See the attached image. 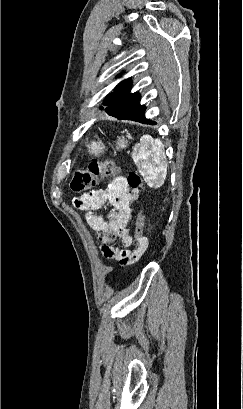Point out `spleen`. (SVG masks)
Listing matches in <instances>:
<instances>
[{
  "label": "spleen",
  "mask_w": 243,
  "mask_h": 409,
  "mask_svg": "<svg viewBox=\"0 0 243 409\" xmlns=\"http://www.w3.org/2000/svg\"><path fill=\"white\" fill-rule=\"evenodd\" d=\"M131 156L149 187L159 188L163 185L167 175V164L164 161L163 145L159 139L154 140L150 135H143L140 143L135 145Z\"/></svg>",
  "instance_id": "1"
}]
</instances>
